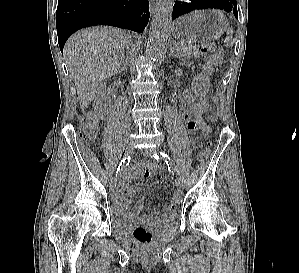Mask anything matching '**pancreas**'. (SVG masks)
Instances as JSON below:
<instances>
[{
    "label": "pancreas",
    "mask_w": 299,
    "mask_h": 273,
    "mask_svg": "<svg viewBox=\"0 0 299 273\" xmlns=\"http://www.w3.org/2000/svg\"><path fill=\"white\" fill-rule=\"evenodd\" d=\"M178 53L185 57L190 58L193 56V46L188 43H179L177 44Z\"/></svg>",
    "instance_id": "obj_1"
}]
</instances>
